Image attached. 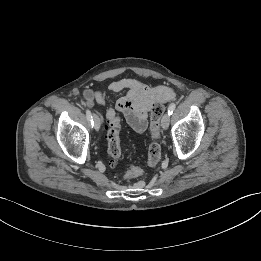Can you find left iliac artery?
Instances as JSON below:
<instances>
[{
  "label": "left iliac artery",
  "mask_w": 261,
  "mask_h": 261,
  "mask_svg": "<svg viewBox=\"0 0 261 261\" xmlns=\"http://www.w3.org/2000/svg\"><path fill=\"white\" fill-rule=\"evenodd\" d=\"M176 108V104L175 103H171L168 107V114L169 116L172 115L173 111L175 110Z\"/></svg>",
  "instance_id": "44dca946"
}]
</instances>
